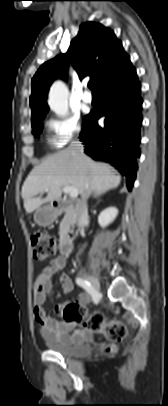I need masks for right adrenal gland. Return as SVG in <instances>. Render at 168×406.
I'll return each mask as SVG.
<instances>
[{
  "label": "right adrenal gland",
  "instance_id": "1",
  "mask_svg": "<svg viewBox=\"0 0 168 406\" xmlns=\"http://www.w3.org/2000/svg\"><path fill=\"white\" fill-rule=\"evenodd\" d=\"M100 194H101V193H98L97 195H95V197L98 196V195H100Z\"/></svg>",
  "mask_w": 168,
  "mask_h": 406
}]
</instances>
